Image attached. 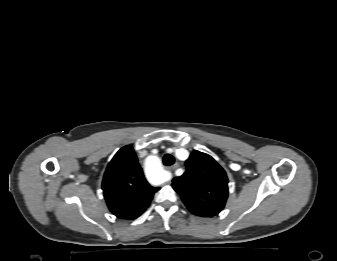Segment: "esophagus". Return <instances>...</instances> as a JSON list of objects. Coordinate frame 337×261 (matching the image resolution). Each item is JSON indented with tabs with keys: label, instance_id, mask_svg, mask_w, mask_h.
I'll use <instances>...</instances> for the list:
<instances>
[{
	"label": "esophagus",
	"instance_id": "34e87169",
	"mask_svg": "<svg viewBox=\"0 0 337 261\" xmlns=\"http://www.w3.org/2000/svg\"><path fill=\"white\" fill-rule=\"evenodd\" d=\"M178 166H179V165L176 163V164H174V165L168 167V169H169V170H175V169L178 168Z\"/></svg>",
	"mask_w": 337,
	"mask_h": 261
}]
</instances>
